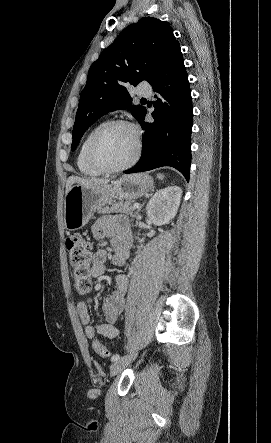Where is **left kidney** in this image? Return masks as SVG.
Instances as JSON below:
<instances>
[{
  "label": "left kidney",
  "instance_id": "5707ae66",
  "mask_svg": "<svg viewBox=\"0 0 271 443\" xmlns=\"http://www.w3.org/2000/svg\"><path fill=\"white\" fill-rule=\"evenodd\" d=\"M182 190L179 186H169L159 190L147 204V216L155 225H163L173 220L180 206Z\"/></svg>",
  "mask_w": 271,
  "mask_h": 443
}]
</instances>
